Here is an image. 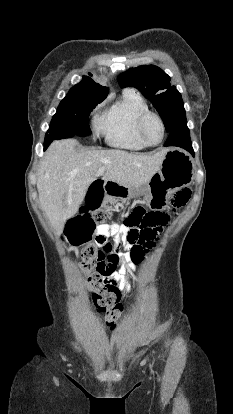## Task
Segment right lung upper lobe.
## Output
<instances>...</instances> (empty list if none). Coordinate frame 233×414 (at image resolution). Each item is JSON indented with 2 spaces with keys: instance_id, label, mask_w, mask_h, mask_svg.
<instances>
[{
  "instance_id": "1",
  "label": "right lung upper lobe",
  "mask_w": 233,
  "mask_h": 414,
  "mask_svg": "<svg viewBox=\"0 0 233 414\" xmlns=\"http://www.w3.org/2000/svg\"><path fill=\"white\" fill-rule=\"evenodd\" d=\"M71 91L88 94L97 100L103 101L106 98L109 89L108 87L95 83L90 77L83 76V80L75 85Z\"/></svg>"
}]
</instances>
